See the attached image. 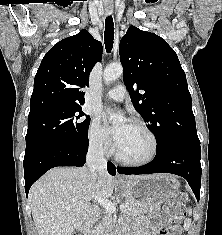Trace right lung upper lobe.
Listing matches in <instances>:
<instances>
[{
  "label": "right lung upper lobe",
  "instance_id": "obj_1",
  "mask_svg": "<svg viewBox=\"0 0 222 235\" xmlns=\"http://www.w3.org/2000/svg\"><path fill=\"white\" fill-rule=\"evenodd\" d=\"M102 58V44L87 30L55 44L43 57L35 75L30 113L53 106L83 105L89 74Z\"/></svg>",
  "mask_w": 222,
  "mask_h": 235
}]
</instances>
